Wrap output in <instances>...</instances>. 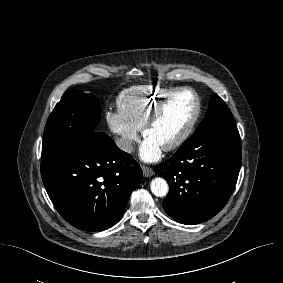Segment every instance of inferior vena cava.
Returning <instances> with one entry per match:
<instances>
[{"label": "inferior vena cava", "mask_w": 283, "mask_h": 283, "mask_svg": "<svg viewBox=\"0 0 283 283\" xmlns=\"http://www.w3.org/2000/svg\"><path fill=\"white\" fill-rule=\"evenodd\" d=\"M117 146L128 153H131L134 151L133 141L126 139V138H118L116 139Z\"/></svg>", "instance_id": "602c4592"}]
</instances>
